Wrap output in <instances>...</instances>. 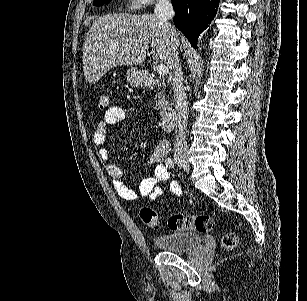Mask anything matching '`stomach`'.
<instances>
[{"instance_id": "stomach-1", "label": "stomach", "mask_w": 307, "mask_h": 301, "mask_svg": "<svg viewBox=\"0 0 307 301\" xmlns=\"http://www.w3.org/2000/svg\"><path fill=\"white\" fill-rule=\"evenodd\" d=\"M126 80L131 86H143L146 82L145 74L140 68L136 66H130L126 72Z\"/></svg>"}]
</instances>
